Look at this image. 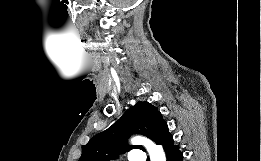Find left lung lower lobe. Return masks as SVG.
I'll list each match as a JSON object with an SVG mask.
<instances>
[{"label": "left lung lower lobe", "mask_w": 261, "mask_h": 161, "mask_svg": "<svg viewBox=\"0 0 261 161\" xmlns=\"http://www.w3.org/2000/svg\"><path fill=\"white\" fill-rule=\"evenodd\" d=\"M166 153L167 161H182L183 155L179 151L178 145L173 143V137L169 134L161 143Z\"/></svg>", "instance_id": "obj_1"}]
</instances>
